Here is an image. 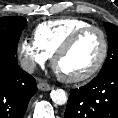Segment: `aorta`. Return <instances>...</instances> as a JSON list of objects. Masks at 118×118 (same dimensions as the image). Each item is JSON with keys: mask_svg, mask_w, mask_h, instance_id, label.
<instances>
[{"mask_svg": "<svg viewBox=\"0 0 118 118\" xmlns=\"http://www.w3.org/2000/svg\"><path fill=\"white\" fill-rule=\"evenodd\" d=\"M50 97L57 105H64L67 102V95L63 89H55L51 91Z\"/></svg>", "mask_w": 118, "mask_h": 118, "instance_id": "762f6f07", "label": "aorta"}]
</instances>
